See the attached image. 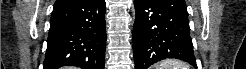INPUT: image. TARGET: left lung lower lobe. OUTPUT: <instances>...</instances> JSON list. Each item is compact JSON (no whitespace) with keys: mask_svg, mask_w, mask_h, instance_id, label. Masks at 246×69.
I'll return each instance as SVG.
<instances>
[{"mask_svg":"<svg viewBox=\"0 0 246 69\" xmlns=\"http://www.w3.org/2000/svg\"><path fill=\"white\" fill-rule=\"evenodd\" d=\"M133 52L136 69L177 58L196 66L189 20L157 0H134Z\"/></svg>","mask_w":246,"mask_h":69,"instance_id":"left-lung-lower-lobe-1","label":"left lung lower lobe"}]
</instances>
